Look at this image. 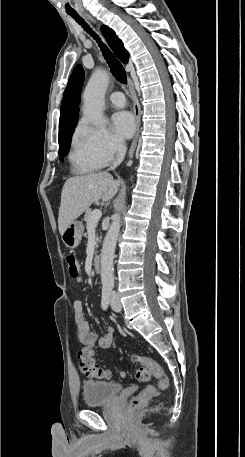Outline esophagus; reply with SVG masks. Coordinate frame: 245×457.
<instances>
[{
  "label": "esophagus",
  "mask_w": 245,
  "mask_h": 457,
  "mask_svg": "<svg viewBox=\"0 0 245 457\" xmlns=\"http://www.w3.org/2000/svg\"><path fill=\"white\" fill-rule=\"evenodd\" d=\"M84 15H86V17L89 18L91 21L95 22V20L92 19L89 15H87V14H84ZM129 92H130V95L132 97L134 118L136 120V130H135V134H134L132 145H131L130 150H129V157L132 158V156L134 154V151L136 149L137 141H138V135H139V131H140L141 114H140V106H139L138 99L136 97V93H135V90H134L133 82H132V80L130 78H129Z\"/></svg>",
  "instance_id": "34e87169"
}]
</instances>
